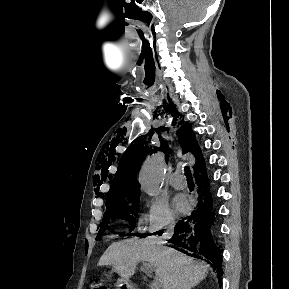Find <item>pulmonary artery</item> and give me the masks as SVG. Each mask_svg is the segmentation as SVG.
I'll return each instance as SVG.
<instances>
[{"label": "pulmonary artery", "instance_id": "1", "mask_svg": "<svg viewBox=\"0 0 289 289\" xmlns=\"http://www.w3.org/2000/svg\"><path fill=\"white\" fill-rule=\"evenodd\" d=\"M170 184L176 189H183L186 187V181L179 171H176L170 177Z\"/></svg>", "mask_w": 289, "mask_h": 289}]
</instances>
